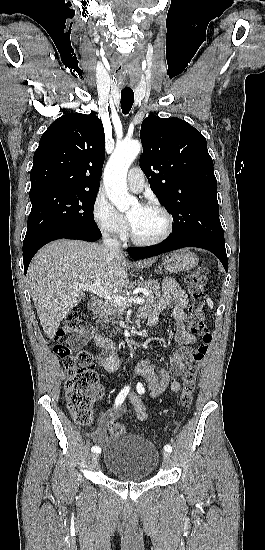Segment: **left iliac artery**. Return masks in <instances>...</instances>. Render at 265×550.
Wrapping results in <instances>:
<instances>
[{
  "label": "left iliac artery",
  "instance_id": "1",
  "mask_svg": "<svg viewBox=\"0 0 265 550\" xmlns=\"http://www.w3.org/2000/svg\"><path fill=\"white\" fill-rule=\"evenodd\" d=\"M137 392H138L139 394H143V393L145 392L144 387H143L142 384H140V383H138V385H137ZM164 450H165L166 452H171V451H172V447H171L170 445H165V446H164Z\"/></svg>",
  "mask_w": 265,
  "mask_h": 550
}]
</instances>
